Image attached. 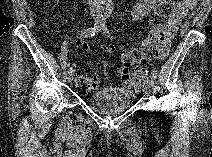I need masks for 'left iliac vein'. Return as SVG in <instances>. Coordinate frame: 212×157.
Instances as JSON below:
<instances>
[{"label": "left iliac vein", "instance_id": "4c4485c4", "mask_svg": "<svg viewBox=\"0 0 212 157\" xmlns=\"http://www.w3.org/2000/svg\"><path fill=\"white\" fill-rule=\"evenodd\" d=\"M142 89H143V92L145 94H149L150 91H151L149 85H147V84H144L143 87H142Z\"/></svg>", "mask_w": 212, "mask_h": 157}]
</instances>
